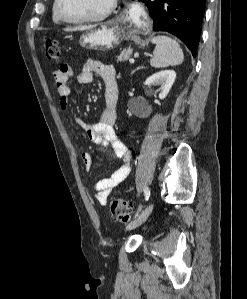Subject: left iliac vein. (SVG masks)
<instances>
[{
    "label": "left iliac vein",
    "instance_id": "obj_1",
    "mask_svg": "<svg viewBox=\"0 0 247 299\" xmlns=\"http://www.w3.org/2000/svg\"><path fill=\"white\" fill-rule=\"evenodd\" d=\"M152 210H153V204L147 205L141 211V213L133 221H131L127 225L126 229L127 230H132V229L140 226L141 224H143L147 220V218L149 217V215L151 214Z\"/></svg>",
    "mask_w": 247,
    "mask_h": 299
}]
</instances>
